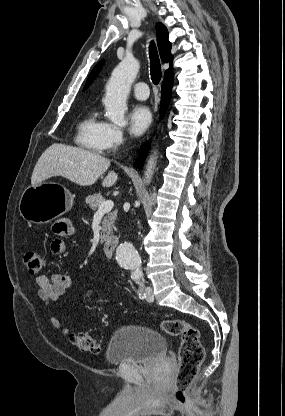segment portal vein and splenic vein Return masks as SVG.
<instances>
[{
  "mask_svg": "<svg viewBox=\"0 0 285 416\" xmlns=\"http://www.w3.org/2000/svg\"><path fill=\"white\" fill-rule=\"evenodd\" d=\"M114 206V202L112 200H107V202H103L101 206H99L95 216H102V214H107V212H111Z\"/></svg>",
  "mask_w": 285,
  "mask_h": 416,
  "instance_id": "portal-vein-and-splenic-vein-1",
  "label": "portal vein and splenic vein"
}]
</instances>
